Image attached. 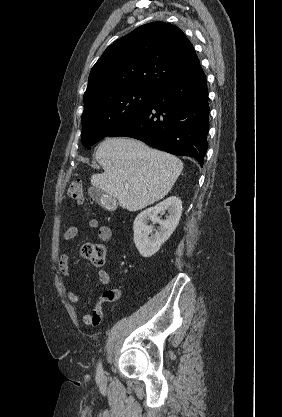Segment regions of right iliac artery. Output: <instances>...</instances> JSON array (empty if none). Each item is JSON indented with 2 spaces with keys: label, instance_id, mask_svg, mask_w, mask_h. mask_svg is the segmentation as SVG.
Wrapping results in <instances>:
<instances>
[{
  "label": "right iliac artery",
  "instance_id": "82829eb1",
  "mask_svg": "<svg viewBox=\"0 0 282 417\" xmlns=\"http://www.w3.org/2000/svg\"><path fill=\"white\" fill-rule=\"evenodd\" d=\"M97 374H98V375H103V368H102V364H101V362L98 364V367H97Z\"/></svg>",
  "mask_w": 282,
  "mask_h": 417
}]
</instances>
